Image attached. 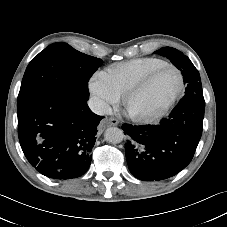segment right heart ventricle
I'll use <instances>...</instances> for the list:
<instances>
[{
	"label": "right heart ventricle",
	"mask_w": 227,
	"mask_h": 227,
	"mask_svg": "<svg viewBox=\"0 0 227 227\" xmlns=\"http://www.w3.org/2000/svg\"><path fill=\"white\" fill-rule=\"evenodd\" d=\"M168 64L156 57H144L121 62L109 67L105 72L120 95L138 83L151 71Z\"/></svg>",
	"instance_id": "obj_1"
}]
</instances>
